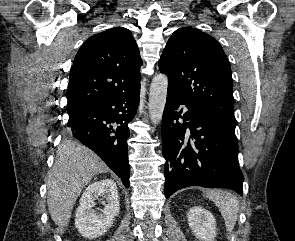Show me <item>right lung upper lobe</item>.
I'll use <instances>...</instances> for the list:
<instances>
[{"instance_id":"cb5924a9","label":"right lung upper lobe","mask_w":295,"mask_h":241,"mask_svg":"<svg viewBox=\"0 0 295 241\" xmlns=\"http://www.w3.org/2000/svg\"><path fill=\"white\" fill-rule=\"evenodd\" d=\"M141 65L130 30L116 27L90 37L70 70L67 112L94 99L131 90L140 83Z\"/></svg>"}]
</instances>
